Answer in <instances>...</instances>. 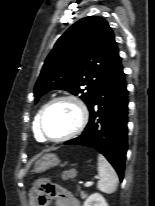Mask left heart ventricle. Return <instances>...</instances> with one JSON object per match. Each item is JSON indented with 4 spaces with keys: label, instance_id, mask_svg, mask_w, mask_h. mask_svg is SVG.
<instances>
[{
    "label": "left heart ventricle",
    "instance_id": "left-heart-ventricle-1",
    "mask_svg": "<svg viewBox=\"0 0 155 206\" xmlns=\"http://www.w3.org/2000/svg\"><path fill=\"white\" fill-rule=\"evenodd\" d=\"M78 119V111L72 103L60 102L51 107L46 113L43 130L49 137H62L77 126Z\"/></svg>",
    "mask_w": 155,
    "mask_h": 206
}]
</instances>
